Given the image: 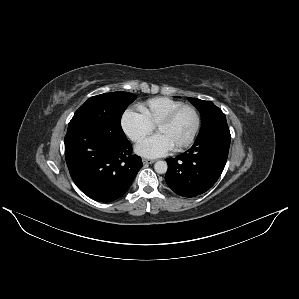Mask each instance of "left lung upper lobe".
Wrapping results in <instances>:
<instances>
[{
    "instance_id": "left-lung-upper-lobe-1",
    "label": "left lung upper lobe",
    "mask_w": 299,
    "mask_h": 299,
    "mask_svg": "<svg viewBox=\"0 0 299 299\" xmlns=\"http://www.w3.org/2000/svg\"><path fill=\"white\" fill-rule=\"evenodd\" d=\"M189 101L201 114L202 125L197 138L214 129L228 127L225 114L211 101H204L196 98H189Z\"/></svg>"
}]
</instances>
